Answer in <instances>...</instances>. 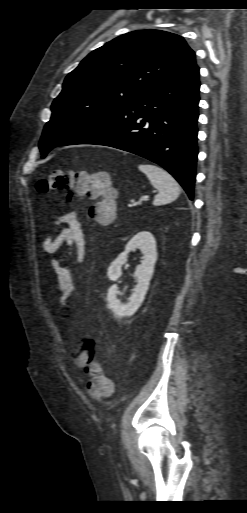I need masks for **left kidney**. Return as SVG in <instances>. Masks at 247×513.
<instances>
[{"label": "left kidney", "instance_id": "5707ae66", "mask_svg": "<svg viewBox=\"0 0 247 513\" xmlns=\"http://www.w3.org/2000/svg\"><path fill=\"white\" fill-rule=\"evenodd\" d=\"M140 249L143 254L141 264L136 267L134 277L137 285L129 298L128 303H121L117 299L119 293L118 286L112 285L108 289L107 302L108 308L116 318L132 316L140 307L149 287V282L154 272V265L157 260L156 240L150 232L137 233L126 245L125 250L111 263L108 268V277L112 281H117L122 275V265L127 262L129 252Z\"/></svg>", "mask_w": 247, "mask_h": 513}]
</instances>
